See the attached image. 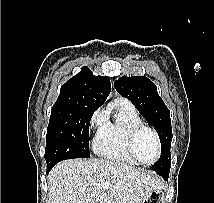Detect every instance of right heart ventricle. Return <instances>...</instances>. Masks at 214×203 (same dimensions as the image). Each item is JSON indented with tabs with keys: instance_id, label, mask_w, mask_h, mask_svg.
I'll list each match as a JSON object with an SVG mask.
<instances>
[{
	"instance_id": "1",
	"label": "right heart ventricle",
	"mask_w": 214,
	"mask_h": 203,
	"mask_svg": "<svg viewBox=\"0 0 214 203\" xmlns=\"http://www.w3.org/2000/svg\"><path fill=\"white\" fill-rule=\"evenodd\" d=\"M112 108L113 117L106 115L105 124L96 134L94 151L111 161L138 165L128 152L127 139L131 129L143 122L134 106L125 99L115 100Z\"/></svg>"
}]
</instances>
